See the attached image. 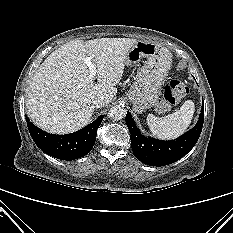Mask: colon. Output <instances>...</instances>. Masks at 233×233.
I'll return each mask as SVG.
<instances>
[{
    "label": "colon",
    "mask_w": 233,
    "mask_h": 233,
    "mask_svg": "<svg viewBox=\"0 0 233 233\" xmlns=\"http://www.w3.org/2000/svg\"><path fill=\"white\" fill-rule=\"evenodd\" d=\"M188 87L179 77H174L164 88L161 99L156 105V109L160 113L170 110L171 106L178 103L187 93Z\"/></svg>",
    "instance_id": "obj_1"
}]
</instances>
